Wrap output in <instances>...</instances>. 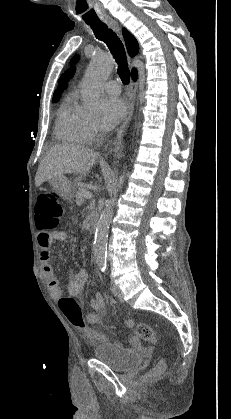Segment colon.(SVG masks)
<instances>
[{"instance_id": "5ec220e1", "label": "colon", "mask_w": 231, "mask_h": 419, "mask_svg": "<svg viewBox=\"0 0 231 419\" xmlns=\"http://www.w3.org/2000/svg\"><path fill=\"white\" fill-rule=\"evenodd\" d=\"M63 218V207L59 202L58 196L55 192L47 191L41 193L36 202L35 206V220L37 228L40 231H50L55 229ZM59 307L69 322L78 330L84 333L85 338L88 341H94L98 335L95 331L88 329L81 311V306L78 301L72 297H62L59 300ZM127 326L133 330V332L141 340L150 344H157V337L152 329L146 323H133L132 321L127 322ZM163 363L160 362L156 370L162 368Z\"/></svg>"}]
</instances>
